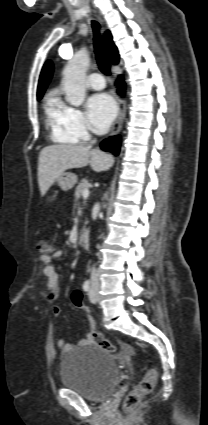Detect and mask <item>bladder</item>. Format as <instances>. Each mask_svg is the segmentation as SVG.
<instances>
[{"mask_svg": "<svg viewBox=\"0 0 208 425\" xmlns=\"http://www.w3.org/2000/svg\"><path fill=\"white\" fill-rule=\"evenodd\" d=\"M60 374L66 388L91 401L108 397L120 377L113 356L95 346L80 348L63 356Z\"/></svg>", "mask_w": 208, "mask_h": 425, "instance_id": "1", "label": "bladder"}]
</instances>
